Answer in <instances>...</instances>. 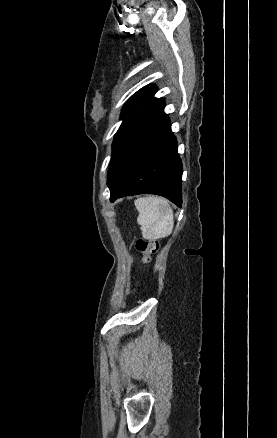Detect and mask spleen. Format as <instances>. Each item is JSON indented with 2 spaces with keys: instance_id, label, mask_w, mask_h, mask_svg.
Instances as JSON below:
<instances>
[{
  "instance_id": "spleen-1",
  "label": "spleen",
  "mask_w": 277,
  "mask_h": 438,
  "mask_svg": "<svg viewBox=\"0 0 277 438\" xmlns=\"http://www.w3.org/2000/svg\"><path fill=\"white\" fill-rule=\"evenodd\" d=\"M138 210L137 224L141 226L145 240H158L170 236L173 230V210L165 198H138L134 202Z\"/></svg>"
}]
</instances>
